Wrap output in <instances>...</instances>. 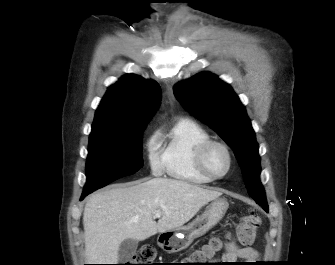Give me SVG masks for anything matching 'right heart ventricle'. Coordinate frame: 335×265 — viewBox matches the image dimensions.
I'll return each mask as SVG.
<instances>
[{
    "mask_svg": "<svg viewBox=\"0 0 335 265\" xmlns=\"http://www.w3.org/2000/svg\"><path fill=\"white\" fill-rule=\"evenodd\" d=\"M211 139L210 133L199 123L182 118L160 136L162 163L172 178L190 184L202 185L212 180L198 169L196 154L199 147Z\"/></svg>",
    "mask_w": 335,
    "mask_h": 265,
    "instance_id": "obj_1",
    "label": "right heart ventricle"
}]
</instances>
